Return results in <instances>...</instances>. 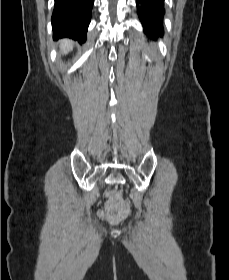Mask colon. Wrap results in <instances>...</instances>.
<instances>
[{
  "label": "colon",
  "instance_id": "colon-1",
  "mask_svg": "<svg viewBox=\"0 0 229 280\" xmlns=\"http://www.w3.org/2000/svg\"><path fill=\"white\" fill-rule=\"evenodd\" d=\"M107 197L106 208L109 217L120 220L130 214L131 208L128 201L117 190L109 191Z\"/></svg>",
  "mask_w": 229,
  "mask_h": 280
}]
</instances>
